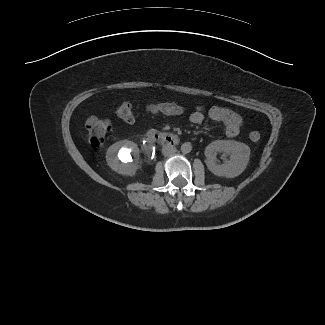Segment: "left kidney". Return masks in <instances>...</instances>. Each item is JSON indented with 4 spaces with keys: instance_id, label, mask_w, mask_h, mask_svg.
I'll return each instance as SVG.
<instances>
[{
    "instance_id": "5707ae66",
    "label": "left kidney",
    "mask_w": 325,
    "mask_h": 325,
    "mask_svg": "<svg viewBox=\"0 0 325 325\" xmlns=\"http://www.w3.org/2000/svg\"><path fill=\"white\" fill-rule=\"evenodd\" d=\"M217 152H226L230 158L223 164L215 161ZM208 169L217 176L234 178L240 175L245 169L250 158L248 145L233 140H216L211 142L205 149Z\"/></svg>"
}]
</instances>
